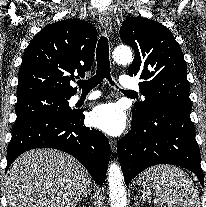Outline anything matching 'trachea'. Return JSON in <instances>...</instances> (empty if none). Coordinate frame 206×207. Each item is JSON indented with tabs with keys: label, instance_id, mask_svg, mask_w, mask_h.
<instances>
[{
	"label": "trachea",
	"instance_id": "3493384b",
	"mask_svg": "<svg viewBox=\"0 0 206 207\" xmlns=\"http://www.w3.org/2000/svg\"><path fill=\"white\" fill-rule=\"evenodd\" d=\"M96 60H97V71L96 75L88 80H80L77 82L78 86L82 91H90L92 88L96 87L103 79H107L111 85L115 83L111 79V68L109 61V44L107 37H101L97 49H96ZM125 93L135 95L132 91L122 90Z\"/></svg>",
	"mask_w": 206,
	"mask_h": 207
}]
</instances>
